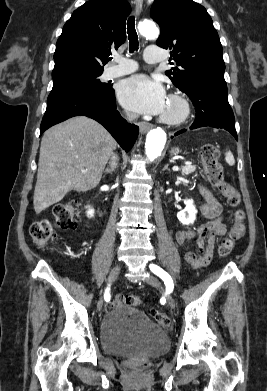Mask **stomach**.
Wrapping results in <instances>:
<instances>
[{
    "label": "stomach",
    "mask_w": 267,
    "mask_h": 391,
    "mask_svg": "<svg viewBox=\"0 0 267 391\" xmlns=\"http://www.w3.org/2000/svg\"><path fill=\"white\" fill-rule=\"evenodd\" d=\"M179 152H181L179 148H174L172 150V153L175 154V155H177Z\"/></svg>",
    "instance_id": "stomach-1"
}]
</instances>
